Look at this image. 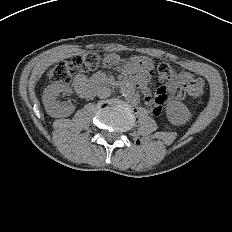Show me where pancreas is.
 Instances as JSON below:
<instances>
[{
  "mask_svg": "<svg viewBox=\"0 0 232 232\" xmlns=\"http://www.w3.org/2000/svg\"><path fill=\"white\" fill-rule=\"evenodd\" d=\"M103 78H105L104 75L98 74V75H96V76L93 78V80H94L95 82H100V80L103 79Z\"/></svg>",
  "mask_w": 232,
  "mask_h": 232,
  "instance_id": "pancreas-1",
  "label": "pancreas"
}]
</instances>
